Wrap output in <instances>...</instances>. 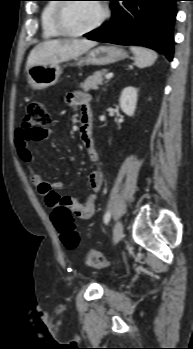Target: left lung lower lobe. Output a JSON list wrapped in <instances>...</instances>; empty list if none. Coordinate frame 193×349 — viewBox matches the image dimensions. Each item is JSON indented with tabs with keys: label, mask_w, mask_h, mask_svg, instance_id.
Returning <instances> with one entry per match:
<instances>
[{
	"label": "left lung lower lobe",
	"mask_w": 193,
	"mask_h": 349,
	"mask_svg": "<svg viewBox=\"0 0 193 349\" xmlns=\"http://www.w3.org/2000/svg\"><path fill=\"white\" fill-rule=\"evenodd\" d=\"M108 24L85 35L90 40L141 45L173 58V27L178 0H110Z\"/></svg>",
	"instance_id": "obj_1"
}]
</instances>
